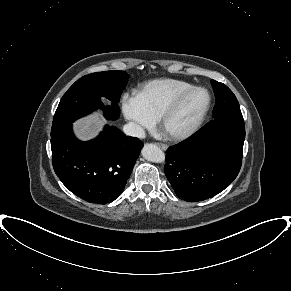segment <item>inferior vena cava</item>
Segmentation results:
<instances>
[{
    "instance_id": "1",
    "label": "inferior vena cava",
    "mask_w": 291,
    "mask_h": 291,
    "mask_svg": "<svg viewBox=\"0 0 291 291\" xmlns=\"http://www.w3.org/2000/svg\"><path fill=\"white\" fill-rule=\"evenodd\" d=\"M123 131L126 135L129 136L145 138L144 129L134 122H128L127 124H125V126L123 127Z\"/></svg>"
}]
</instances>
